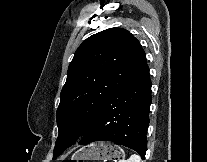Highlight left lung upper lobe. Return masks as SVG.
I'll return each instance as SVG.
<instances>
[{
  "instance_id": "left-lung-upper-lobe-1",
  "label": "left lung upper lobe",
  "mask_w": 207,
  "mask_h": 162,
  "mask_svg": "<svg viewBox=\"0 0 207 162\" xmlns=\"http://www.w3.org/2000/svg\"><path fill=\"white\" fill-rule=\"evenodd\" d=\"M145 58L139 41L122 28L96 33L79 46L60 95L53 159L84 134L107 98Z\"/></svg>"
}]
</instances>
